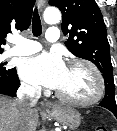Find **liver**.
<instances>
[{
    "label": "liver",
    "mask_w": 117,
    "mask_h": 131,
    "mask_svg": "<svg viewBox=\"0 0 117 131\" xmlns=\"http://www.w3.org/2000/svg\"><path fill=\"white\" fill-rule=\"evenodd\" d=\"M38 112L22 111L17 100L0 96V131H35Z\"/></svg>",
    "instance_id": "6515ba94"
}]
</instances>
